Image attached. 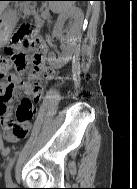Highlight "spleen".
I'll use <instances>...</instances> for the list:
<instances>
[{
  "instance_id": "3e777b00",
  "label": "spleen",
  "mask_w": 137,
  "mask_h": 189,
  "mask_svg": "<svg viewBox=\"0 0 137 189\" xmlns=\"http://www.w3.org/2000/svg\"><path fill=\"white\" fill-rule=\"evenodd\" d=\"M72 5L70 1H49V7L55 13H62Z\"/></svg>"
}]
</instances>
